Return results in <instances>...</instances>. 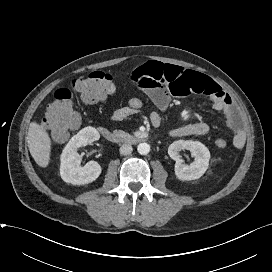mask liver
Returning a JSON list of instances; mask_svg holds the SVG:
<instances>
[{
    "mask_svg": "<svg viewBox=\"0 0 272 272\" xmlns=\"http://www.w3.org/2000/svg\"><path fill=\"white\" fill-rule=\"evenodd\" d=\"M27 143L35 162L40 167H47L50 162L51 140L46 129L36 122H31L27 134Z\"/></svg>",
    "mask_w": 272,
    "mask_h": 272,
    "instance_id": "6515ba94",
    "label": "liver"
}]
</instances>
